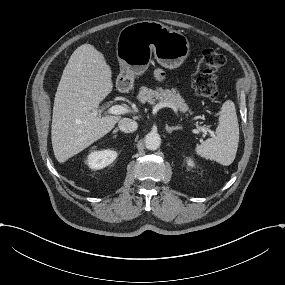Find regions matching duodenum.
Returning a JSON list of instances; mask_svg holds the SVG:
<instances>
[{"label":"duodenum","mask_w":285,"mask_h":285,"mask_svg":"<svg viewBox=\"0 0 285 285\" xmlns=\"http://www.w3.org/2000/svg\"><path fill=\"white\" fill-rule=\"evenodd\" d=\"M116 88L118 96L128 97L133 90V85L128 77H121L116 83Z\"/></svg>","instance_id":"1"}]
</instances>
